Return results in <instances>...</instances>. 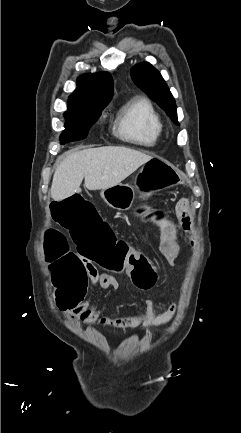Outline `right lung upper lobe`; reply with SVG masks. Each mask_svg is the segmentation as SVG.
<instances>
[{
    "mask_svg": "<svg viewBox=\"0 0 241 433\" xmlns=\"http://www.w3.org/2000/svg\"><path fill=\"white\" fill-rule=\"evenodd\" d=\"M113 89L112 77L107 72L84 75L78 78L77 89L70 95L68 104L107 105Z\"/></svg>",
    "mask_w": 241,
    "mask_h": 433,
    "instance_id": "obj_1",
    "label": "right lung upper lobe"
}]
</instances>
